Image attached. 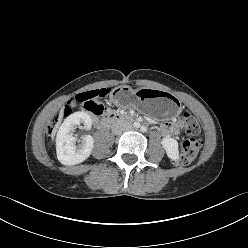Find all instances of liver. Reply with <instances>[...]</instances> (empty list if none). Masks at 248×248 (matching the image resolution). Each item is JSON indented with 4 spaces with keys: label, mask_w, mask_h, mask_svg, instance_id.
I'll list each match as a JSON object with an SVG mask.
<instances>
[{
    "label": "liver",
    "mask_w": 248,
    "mask_h": 248,
    "mask_svg": "<svg viewBox=\"0 0 248 248\" xmlns=\"http://www.w3.org/2000/svg\"><path fill=\"white\" fill-rule=\"evenodd\" d=\"M60 119H61V117H60ZM59 122H60V120L58 121V123L56 124V126H55V128H54V130H53L52 137H54V135H55V133H56V130H57L58 126H59Z\"/></svg>",
    "instance_id": "1"
}]
</instances>
